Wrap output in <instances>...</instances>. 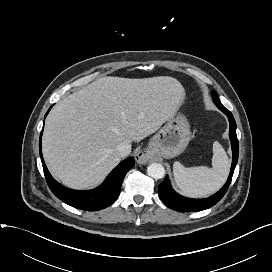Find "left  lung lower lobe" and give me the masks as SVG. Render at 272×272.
I'll list each match as a JSON object with an SVG mask.
<instances>
[{"label": "left lung lower lobe", "mask_w": 272, "mask_h": 272, "mask_svg": "<svg viewBox=\"0 0 272 272\" xmlns=\"http://www.w3.org/2000/svg\"><path fill=\"white\" fill-rule=\"evenodd\" d=\"M213 100L216 106L227 115L230 122L229 136L232 145L233 160L228 180L222 187V189L219 190L216 194L212 195L211 197L205 199H190L177 194L172 189L170 181L166 176L164 181L158 186V194L160 199L164 202V204L173 210L180 212H194L205 210L212 207L213 205L218 203L224 196L232 180L234 169L238 161L239 153V145L236 135V122L234 120L232 113L221 104L219 99Z\"/></svg>", "instance_id": "1"}]
</instances>
